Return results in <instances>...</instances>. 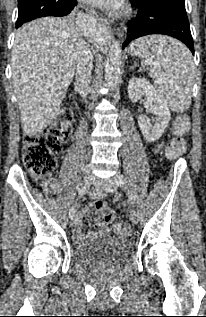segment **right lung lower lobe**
I'll use <instances>...</instances> for the list:
<instances>
[{"label": "right lung lower lobe", "instance_id": "right-lung-lower-lobe-1", "mask_svg": "<svg viewBox=\"0 0 206 317\" xmlns=\"http://www.w3.org/2000/svg\"><path fill=\"white\" fill-rule=\"evenodd\" d=\"M61 4L58 5L56 11L59 16H65L71 12L73 7L77 4V0H61Z\"/></svg>", "mask_w": 206, "mask_h": 317}]
</instances>
